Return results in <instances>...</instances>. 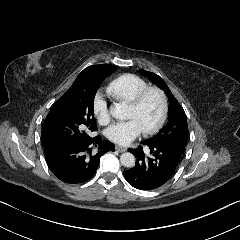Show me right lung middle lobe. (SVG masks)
<instances>
[{
	"label": "right lung middle lobe",
	"instance_id": "right-lung-middle-lobe-1",
	"mask_svg": "<svg viewBox=\"0 0 240 240\" xmlns=\"http://www.w3.org/2000/svg\"><path fill=\"white\" fill-rule=\"evenodd\" d=\"M112 71H82L66 93L58 99L47 115L42 132V143L56 141H86L96 130L94 97Z\"/></svg>",
	"mask_w": 240,
	"mask_h": 240
}]
</instances>
